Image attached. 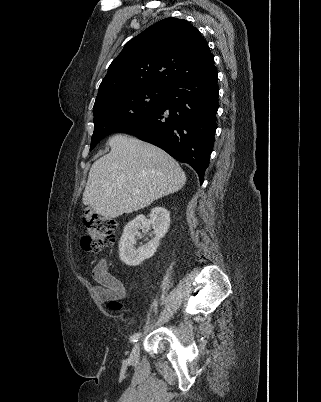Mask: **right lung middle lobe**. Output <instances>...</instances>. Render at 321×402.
Listing matches in <instances>:
<instances>
[{
  "label": "right lung middle lobe",
  "mask_w": 321,
  "mask_h": 402,
  "mask_svg": "<svg viewBox=\"0 0 321 402\" xmlns=\"http://www.w3.org/2000/svg\"><path fill=\"white\" fill-rule=\"evenodd\" d=\"M166 88L147 87L112 95L94 104V133L90 151L107 135L131 124L162 104Z\"/></svg>",
  "instance_id": "dd1d6c3e"
}]
</instances>
